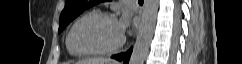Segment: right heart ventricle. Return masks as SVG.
Here are the masks:
<instances>
[{"label": "right heart ventricle", "instance_id": "1", "mask_svg": "<svg viewBox=\"0 0 242 64\" xmlns=\"http://www.w3.org/2000/svg\"><path fill=\"white\" fill-rule=\"evenodd\" d=\"M66 46H67V49H68V51H69V53H70L71 55H78V54H76V53L71 49V47L69 46V43H68V37H67V39H66Z\"/></svg>", "mask_w": 242, "mask_h": 64}]
</instances>
